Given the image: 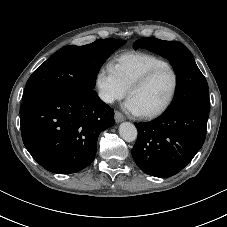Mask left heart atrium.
Returning <instances> with one entry per match:
<instances>
[{"instance_id": "1", "label": "left heart atrium", "mask_w": 227, "mask_h": 227, "mask_svg": "<svg viewBox=\"0 0 227 227\" xmlns=\"http://www.w3.org/2000/svg\"><path fill=\"white\" fill-rule=\"evenodd\" d=\"M124 108L127 112H129L131 114H134V115H140L141 114L140 109L138 108V106L136 105L134 100L130 97L124 103Z\"/></svg>"}]
</instances>
